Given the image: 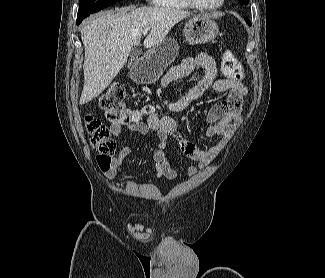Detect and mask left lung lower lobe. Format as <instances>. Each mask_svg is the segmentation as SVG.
Here are the masks:
<instances>
[{"mask_svg":"<svg viewBox=\"0 0 325 278\" xmlns=\"http://www.w3.org/2000/svg\"><path fill=\"white\" fill-rule=\"evenodd\" d=\"M246 20V22L249 24V26H251V22H250V20L249 19H245Z\"/></svg>","mask_w":325,"mask_h":278,"instance_id":"left-lung-lower-lobe-1","label":"left lung lower lobe"}]
</instances>
